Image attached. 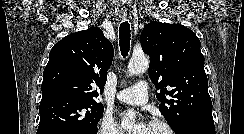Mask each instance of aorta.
I'll return each mask as SVG.
<instances>
[{
  "label": "aorta",
  "instance_id": "obj_1",
  "mask_svg": "<svg viewBox=\"0 0 244 134\" xmlns=\"http://www.w3.org/2000/svg\"><path fill=\"white\" fill-rule=\"evenodd\" d=\"M149 67V59L145 56L132 57L128 64V73L130 75H138L144 73ZM133 120H123L122 126L124 128L133 127Z\"/></svg>",
  "mask_w": 244,
  "mask_h": 134
}]
</instances>
